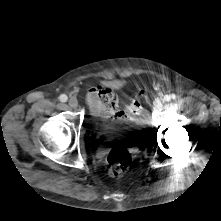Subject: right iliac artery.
Masks as SVG:
<instances>
[{"label":"right iliac artery","mask_w":221,"mask_h":221,"mask_svg":"<svg viewBox=\"0 0 221 221\" xmlns=\"http://www.w3.org/2000/svg\"><path fill=\"white\" fill-rule=\"evenodd\" d=\"M61 102H66L68 100V97L65 94L60 95L59 97Z\"/></svg>","instance_id":"82829eb1"}]
</instances>
